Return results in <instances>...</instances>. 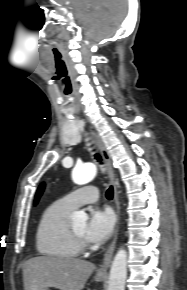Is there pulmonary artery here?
<instances>
[{"label":"pulmonary artery","mask_w":187,"mask_h":290,"mask_svg":"<svg viewBox=\"0 0 187 290\" xmlns=\"http://www.w3.org/2000/svg\"><path fill=\"white\" fill-rule=\"evenodd\" d=\"M98 198L99 188L95 185H87L68 193L61 200L72 209H76L82 204L95 202Z\"/></svg>","instance_id":"1"}]
</instances>
